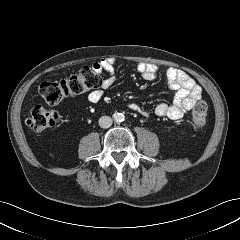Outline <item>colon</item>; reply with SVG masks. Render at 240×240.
<instances>
[{"instance_id": "1", "label": "colon", "mask_w": 240, "mask_h": 240, "mask_svg": "<svg viewBox=\"0 0 240 240\" xmlns=\"http://www.w3.org/2000/svg\"><path fill=\"white\" fill-rule=\"evenodd\" d=\"M99 85L98 75L89 67H84L68 77L45 81L40 85L39 92L49 104H57L69 96L81 95ZM207 115L206 103L200 101L191 111V125L198 130L205 125ZM60 122V115L42 105L35 106L28 118V125L35 133L54 127Z\"/></svg>"}]
</instances>
